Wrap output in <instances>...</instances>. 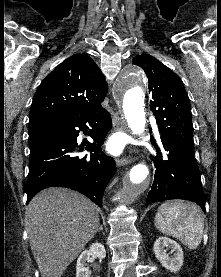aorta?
Listing matches in <instances>:
<instances>
[{
	"mask_svg": "<svg viewBox=\"0 0 221 277\" xmlns=\"http://www.w3.org/2000/svg\"><path fill=\"white\" fill-rule=\"evenodd\" d=\"M145 75L137 66L125 67L116 84L117 97L128 127L132 134L141 136L145 131L146 118L144 112ZM149 169L145 163L134 165L127 174L124 185L118 194V203L123 206L132 204L149 186Z\"/></svg>",
	"mask_w": 221,
	"mask_h": 277,
	"instance_id": "aorta-1",
	"label": "aorta"
}]
</instances>
